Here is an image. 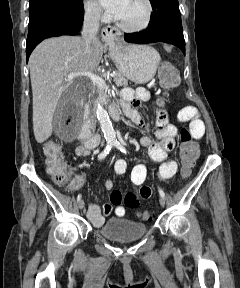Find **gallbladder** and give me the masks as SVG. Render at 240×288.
<instances>
[{"mask_svg": "<svg viewBox=\"0 0 240 288\" xmlns=\"http://www.w3.org/2000/svg\"><path fill=\"white\" fill-rule=\"evenodd\" d=\"M81 111L71 88L67 89L60 97L54 113L53 123L58 120H65L68 116H75Z\"/></svg>", "mask_w": 240, "mask_h": 288, "instance_id": "gallbladder-1", "label": "gallbladder"}]
</instances>
